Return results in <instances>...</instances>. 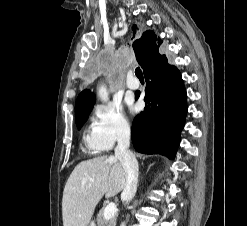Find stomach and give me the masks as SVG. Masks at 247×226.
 <instances>
[{"instance_id":"obj_1","label":"stomach","mask_w":247,"mask_h":226,"mask_svg":"<svg viewBox=\"0 0 247 226\" xmlns=\"http://www.w3.org/2000/svg\"><path fill=\"white\" fill-rule=\"evenodd\" d=\"M89 226H94V224H90Z\"/></svg>"}]
</instances>
